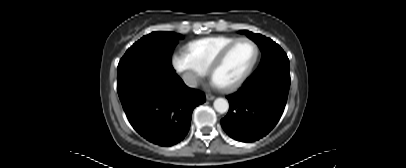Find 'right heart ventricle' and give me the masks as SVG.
<instances>
[{
    "instance_id": "1",
    "label": "right heart ventricle",
    "mask_w": 406,
    "mask_h": 168,
    "mask_svg": "<svg viewBox=\"0 0 406 168\" xmlns=\"http://www.w3.org/2000/svg\"><path fill=\"white\" fill-rule=\"evenodd\" d=\"M232 36H210L186 44V53L197 66L207 71L219 51L235 40Z\"/></svg>"
}]
</instances>
